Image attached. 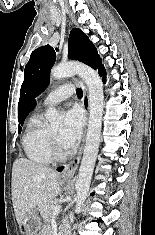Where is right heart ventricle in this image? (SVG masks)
I'll use <instances>...</instances> for the list:
<instances>
[{"label": "right heart ventricle", "instance_id": "obj_1", "mask_svg": "<svg viewBox=\"0 0 155 235\" xmlns=\"http://www.w3.org/2000/svg\"><path fill=\"white\" fill-rule=\"evenodd\" d=\"M26 157L36 164H48L53 158L50 153L49 130L40 113H34L27 121L22 138Z\"/></svg>", "mask_w": 155, "mask_h": 235}]
</instances>
